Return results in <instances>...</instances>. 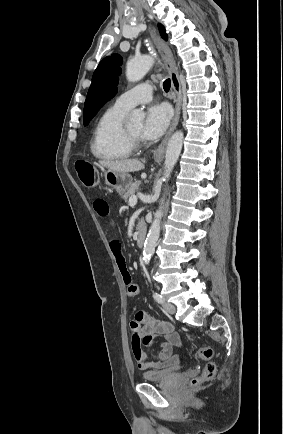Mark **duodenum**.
<instances>
[{
	"label": "duodenum",
	"mask_w": 283,
	"mask_h": 434,
	"mask_svg": "<svg viewBox=\"0 0 283 434\" xmlns=\"http://www.w3.org/2000/svg\"><path fill=\"white\" fill-rule=\"evenodd\" d=\"M146 239V227L143 223H139L138 225V231H137V245L139 247H142L144 245Z\"/></svg>",
	"instance_id": "1"
}]
</instances>
